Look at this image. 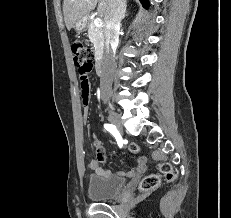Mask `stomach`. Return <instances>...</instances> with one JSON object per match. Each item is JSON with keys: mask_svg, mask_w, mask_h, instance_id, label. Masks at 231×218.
Wrapping results in <instances>:
<instances>
[{"mask_svg": "<svg viewBox=\"0 0 231 218\" xmlns=\"http://www.w3.org/2000/svg\"><path fill=\"white\" fill-rule=\"evenodd\" d=\"M86 23L87 18H82L74 23L73 28L77 33H82L86 28Z\"/></svg>", "mask_w": 231, "mask_h": 218, "instance_id": "obj_1", "label": "stomach"}]
</instances>
